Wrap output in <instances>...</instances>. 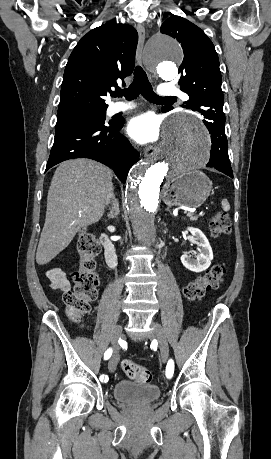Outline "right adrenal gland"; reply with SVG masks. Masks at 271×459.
<instances>
[{"label": "right adrenal gland", "instance_id": "obj_1", "mask_svg": "<svg viewBox=\"0 0 271 459\" xmlns=\"http://www.w3.org/2000/svg\"><path fill=\"white\" fill-rule=\"evenodd\" d=\"M112 202H113V208H110L111 212L107 214L108 218H116L117 214H119V212H115L116 208H118V202L115 196H112Z\"/></svg>", "mask_w": 271, "mask_h": 459}]
</instances>
